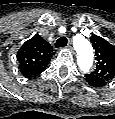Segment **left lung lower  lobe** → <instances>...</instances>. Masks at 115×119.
I'll use <instances>...</instances> for the list:
<instances>
[{
	"label": "left lung lower lobe",
	"instance_id": "1",
	"mask_svg": "<svg viewBox=\"0 0 115 119\" xmlns=\"http://www.w3.org/2000/svg\"><path fill=\"white\" fill-rule=\"evenodd\" d=\"M85 77L89 85L93 87H103L107 83L105 79L93 74L86 75Z\"/></svg>",
	"mask_w": 115,
	"mask_h": 119
}]
</instances>
